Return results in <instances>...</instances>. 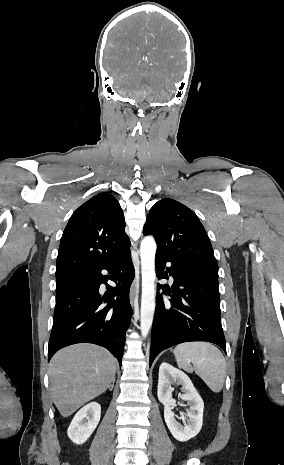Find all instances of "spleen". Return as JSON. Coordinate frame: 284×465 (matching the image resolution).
Listing matches in <instances>:
<instances>
[{"label": "spleen", "instance_id": "1", "mask_svg": "<svg viewBox=\"0 0 284 465\" xmlns=\"http://www.w3.org/2000/svg\"><path fill=\"white\" fill-rule=\"evenodd\" d=\"M174 355L181 369L187 373L195 371L213 393L222 391L226 361L217 347L211 343H182L175 347Z\"/></svg>", "mask_w": 284, "mask_h": 465}]
</instances>
